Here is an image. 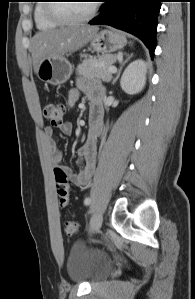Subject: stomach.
Segmentation results:
<instances>
[{
	"label": "stomach",
	"mask_w": 195,
	"mask_h": 299,
	"mask_svg": "<svg viewBox=\"0 0 195 299\" xmlns=\"http://www.w3.org/2000/svg\"><path fill=\"white\" fill-rule=\"evenodd\" d=\"M126 38L114 30H102L97 32L89 41V49L102 53L111 54L126 45ZM72 65L63 55L45 58L39 65L38 78L51 85L64 84L71 76Z\"/></svg>",
	"instance_id": "1"
}]
</instances>
